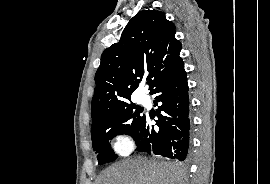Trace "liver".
<instances>
[{"label":"liver","instance_id":"liver-1","mask_svg":"<svg viewBox=\"0 0 270 184\" xmlns=\"http://www.w3.org/2000/svg\"><path fill=\"white\" fill-rule=\"evenodd\" d=\"M180 164L158 160H125L105 169L98 184H184Z\"/></svg>","mask_w":270,"mask_h":184}]
</instances>
